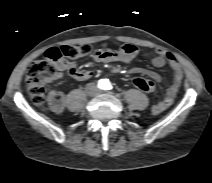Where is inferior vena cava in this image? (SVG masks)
Returning a JSON list of instances; mask_svg holds the SVG:
<instances>
[{"label":"inferior vena cava","mask_w":212,"mask_h":183,"mask_svg":"<svg viewBox=\"0 0 212 183\" xmlns=\"http://www.w3.org/2000/svg\"><path fill=\"white\" fill-rule=\"evenodd\" d=\"M86 89L88 91V94L91 96L98 95L100 92L99 89L97 88V86L93 83L87 84Z\"/></svg>","instance_id":"obj_1"}]
</instances>
